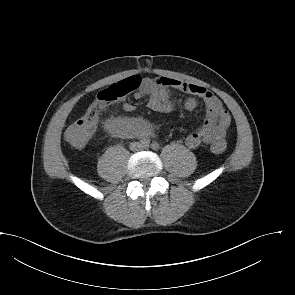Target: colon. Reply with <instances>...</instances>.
Returning <instances> with one entry per match:
<instances>
[{
    "mask_svg": "<svg viewBox=\"0 0 295 295\" xmlns=\"http://www.w3.org/2000/svg\"><path fill=\"white\" fill-rule=\"evenodd\" d=\"M141 84V77L132 76L100 91L85 113L66 129V141L74 147L84 146L91 139L102 110L121 101L127 94L138 90ZM226 147L227 145L224 141H218L211 145V149L215 153L224 152Z\"/></svg>",
    "mask_w": 295,
    "mask_h": 295,
    "instance_id": "colon-1",
    "label": "colon"
}]
</instances>
